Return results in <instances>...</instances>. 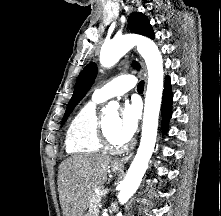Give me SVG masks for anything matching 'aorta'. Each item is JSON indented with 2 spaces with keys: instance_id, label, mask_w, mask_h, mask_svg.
<instances>
[{
  "instance_id": "obj_1",
  "label": "aorta",
  "mask_w": 221,
  "mask_h": 216,
  "mask_svg": "<svg viewBox=\"0 0 221 216\" xmlns=\"http://www.w3.org/2000/svg\"><path fill=\"white\" fill-rule=\"evenodd\" d=\"M134 46H137V51L145 60L148 70V84L145 96L140 146L117 196L119 203L122 205L125 204L138 189L154 151L163 93V60L157 45L151 39L133 34L114 37L103 44L100 52L101 65L103 67H111ZM118 107L117 102L111 101L102 109V112L103 114H108L112 111H116Z\"/></svg>"
}]
</instances>
